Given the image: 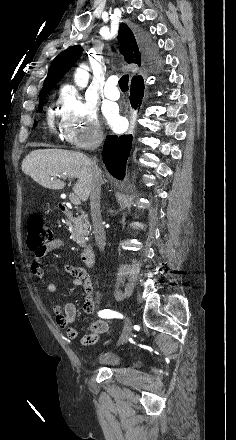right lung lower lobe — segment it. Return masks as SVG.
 <instances>
[{"label":"right lung lower lobe","mask_w":236,"mask_h":440,"mask_svg":"<svg viewBox=\"0 0 236 440\" xmlns=\"http://www.w3.org/2000/svg\"><path fill=\"white\" fill-rule=\"evenodd\" d=\"M139 43L144 60L151 63L154 69H159L160 58L153 42L145 35L139 38ZM144 95L143 79L131 83L130 103L134 109H139ZM132 135L107 136L103 147V162L109 173L123 180L126 162L132 146Z\"/></svg>","instance_id":"98d812e1"}]
</instances>
